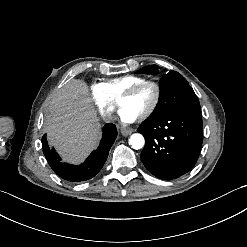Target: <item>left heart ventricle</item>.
Wrapping results in <instances>:
<instances>
[{"label": "left heart ventricle", "instance_id": "b2bd125f", "mask_svg": "<svg viewBox=\"0 0 247 247\" xmlns=\"http://www.w3.org/2000/svg\"><path fill=\"white\" fill-rule=\"evenodd\" d=\"M152 97H153V90L149 87H146L142 89L134 99H132V101L130 102V105L128 106H132L138 109L142 116L149 110Z\"/></svg>", "mask_w": 247, "mask_h": 247}]
</instances>
